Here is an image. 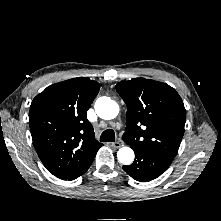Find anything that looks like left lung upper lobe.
<instances>
[{
	"label": "left lung upper lobe",
	"mask_w": 221,
	"mask_h": 221,
	"mask_svg": "<svg viewBox=\"0 0 221 221\" xmlns=\"http://www.w3.org/2000/svg\"><path fill=\"white\" fill-rule=\"evenodd\" d=\"M116 90L127 105L123 140L131 148L174 159L186 121V110L176 90L145 78L119 82Z\"/></svg>",
	"instance_id": "obj_1"
}]
</instances>
